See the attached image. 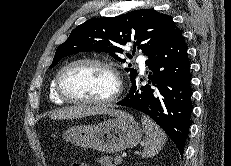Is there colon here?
<instances>
[{
	"label": "colon",
	"instance_id": "5ec220e1",
	"mask_svg": "<svg viewBox=\"0 0 231 166\" xmlns=\"http://www.w3.org/2000/svg\"><path fill=\"white\" fill-rule=\"evenodd\" d=\"M72 166H88V165H86V164H84V163L73 162V163H72Z\"/></svg>",
	"mask_w": 231,
	"mask_h": 166
}]
</instances>
